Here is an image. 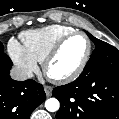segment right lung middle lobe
I'll use <instances>...</instances> for the list:
<instances>
[{
    "label": "right lung middle lobe",
    "mask_w": 119,
    "mask_h": 119,
    "mask_svg": "<svg viewBox=\"0 0 119 119\" xmlns=\"http://www.w3.org/2000/svg\"><path fill=\"white\" fill-rule=\"evenodd\" d=\"M0 59H2L3 62H5L7 64L12 63L10 58L4 53V46L1 42H0Z\"/></svg>",
    "instance_id": "right-lung-middle-lobe-1"
}]
</instances>
